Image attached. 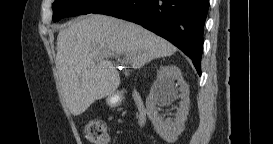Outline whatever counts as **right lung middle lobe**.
I'll list each match as a JSON object with an SVG mask.
<instances>
[{
    "mask_svg": "<svg viewBox=\"0 0 273 144\" xmlns=\"http://www.w3.org/2000/svg\"><path fill=\"white\" fill-rule=\"evenodd\" d=\"M109 0H55L52 5L53 21L65 17L91 13Z\"/></svg>",
    "mask_w": 273,
    "mask_h": 144,
    "instance_id": "dd1d6c3e",
    "label": "right lung middle lobe"
}]
</instances>
